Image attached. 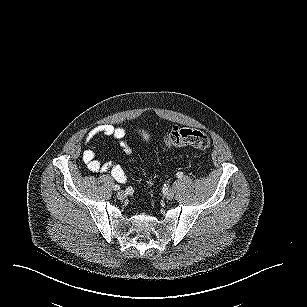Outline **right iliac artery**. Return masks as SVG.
<instances>
[{
	"label": "right iliac artery",
	"instance_id": "right-iliac-artery-1",
	"mask_svg": "<svg viewBox=\"0 0 307 307\" xmlns=\"http://www.w3.org/2000/svg\"><path fill=\"white\" fill-rule=\"evenodd\" d=\"M113 188H114L115 191L120 190V186L119 185H115V186H113Z\"/></svg>",
	"mask_w": 307,
	"mask_h": 307
}]
</instances>
